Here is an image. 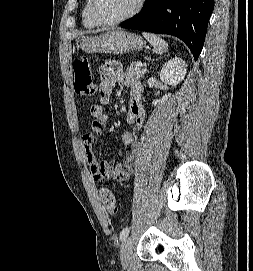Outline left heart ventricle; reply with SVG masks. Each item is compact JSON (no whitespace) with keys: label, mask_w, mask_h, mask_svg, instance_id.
Returning a JSON list of instances; mask_svg holds the SVG:
<instances>
[{"label":"left heart ventricle","mask_w":253,"mask_h":271,"mask_svg":"<svg viewBox=\"0 0 253 271\" xmlns=\"http://www.w3.org/2000/svg\"><path fill=\"white\" fill-rule=\"evenodd\" d=\"M137 0H96L95 9L99 18L109 22L129 13Z\"/></svg>","instance_id":"1"}]
</instances>
